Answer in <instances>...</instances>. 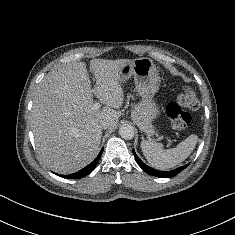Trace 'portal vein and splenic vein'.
<instances>
[{
	"instance_id": "obj_1",
	"label": "portal vein and splenic vein",
	"mask_w": 235,
	"mask_h": 235,
	"mask_svg": "<svg viewBox=\"0 0 235 235\" xmlns=\"http://www.w3.org/2000/svg\"><path fill=\"white\" fill-rule=\"evenodd\" d=\"M100 103H98V102H96L95 104H93V109H95V110H97V109H99L100 108Z\"/></svg>"
}]
</instances>
